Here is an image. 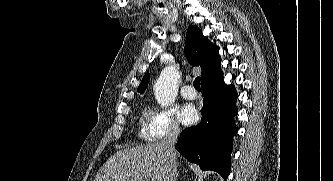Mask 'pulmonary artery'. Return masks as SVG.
<instances>
[{
  "instance_id": "pulmonary-artery-1",
  "label": "pulmonary artery",
  "mask_w": 333,
  "mask_h": 181,
  "mask_svg": "<svg viewBox=\"0 0 333 181\" xmlns=\"http://www.w3.org/2000/svg\"><path fill=\"white\" fill-rule=\"evenodd\" d=\"M181 94L187 100H194L197 97V93L191 85H185L181 90Z\"/></svg>"
}]
</instances>
